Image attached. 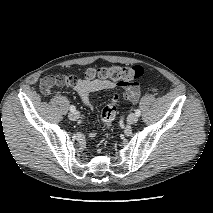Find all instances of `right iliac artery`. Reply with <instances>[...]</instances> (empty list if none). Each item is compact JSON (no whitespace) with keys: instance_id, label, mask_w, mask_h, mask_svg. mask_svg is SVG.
I'll use <instances>...</instances> for the list:
<instances>
[{"instance_id":"1","label":"right iliac artery","mask_w":213,"mask_h":213,"mask_svg":"<svg viewBox=\"0 0 213 213\" xmlns=\"http://www.w3.org/2000/svg\"><path fill=\"white\" fill-rule=\"evenodd\" d=\"M75 110H76L75 106L71 105V106H70V111H71V112H74Z\"/></svg>"}]
</instances>
